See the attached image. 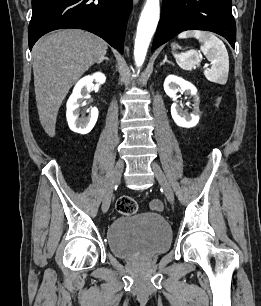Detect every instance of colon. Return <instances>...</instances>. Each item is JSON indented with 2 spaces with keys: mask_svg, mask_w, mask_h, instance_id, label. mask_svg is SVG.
<instances>
[{
  "mask_svg": "<svg viewBox=\"0 0 261 306\" xmlns=\"http://www.w3.org/2000/svg\"><path fill=\"white\" fill-rule=\"evenodd\" d=\"M116 209L123 215H133L137 212L138 206L132 197L121 196L116 201Z\"/></svg>",
  "mask_w": 261,
  "mask_h": 306,
  "instance_id": "1",
  "label": "colon"
}]
</instances>
